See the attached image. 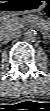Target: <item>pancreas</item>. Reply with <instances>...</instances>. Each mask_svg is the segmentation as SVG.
<instances>
[{
  "instance_id": "pancreas-1",
  "label": "pancreas",
  "mask_w": 50,
  "mask_h": 111,
  "mask_svg": "<svg viewBox=\"0 0 50 111\" xmlns=\"http://www.w3.org/2000/svg\"><path fill=\"white\" fill-rule=\"evenodd\" d=\"M30 20V18H18V17H13L11 19L5 20L3 22V27L4 28H21L23 27L26 23H28Z\"/></svg>"
}]
</instances>
